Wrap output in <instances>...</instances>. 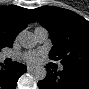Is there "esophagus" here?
<instances>
[{
	"label": "esophagus",
	"instance_id": "34e87169",
	"mask_svg": "<svg viewBox=\"0 0 89 89\" xmlns=\"http://www.w3.org/2000/svg\"><path fill=\"white\" fill-rule=\"evenodd\" d=\"M27 70H28V72H31L33 70V67L28 65Z\"/></svg>",
	"mask_w": 89,
	"mask_h": 89
}]
</instances>
